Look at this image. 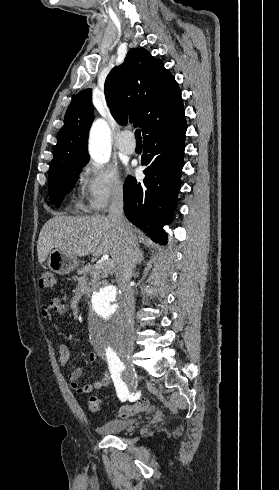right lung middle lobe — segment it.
Returning <instances> with one entry per match:
<instances>
[{"label": "right lung middle lobe", "instance_id": "right-lung-middle-lobe-1", "mask_svg": "<svg viewBox=\"0 0 279 490\" xmlns=\"http://www.w3.org/2000/svg\"><path fill=\"white\" fill-rule=\"evenodd\" d=\"M87 163L88 161L61 169L49 176V197L57 207L60 206L65 194L72 190L81 168Z\"/></svg>", "mask_w": 279, "mask_h": 490}]
</instances>
